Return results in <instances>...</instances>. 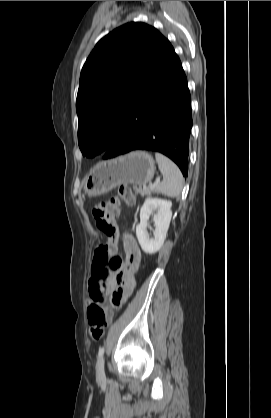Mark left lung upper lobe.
<instances>
[{"mask_svg":"<svg viewBox=\"0 0 271 418\" xmlns=\"http://www.w3.org/2000/svg\"><path fill=\"white\" fill-rule=\"evenodd\" d=\"M171 50L157 29L140 22L118 27L96 44L82 68L76 100L84 156L111 146Z\"/></svg>","mask_w":271,"mask_h":418,"instance_id":"5c2ea615","label":"left lung upper lobe"}]
</instances>
